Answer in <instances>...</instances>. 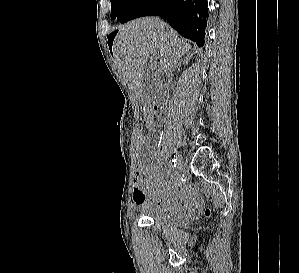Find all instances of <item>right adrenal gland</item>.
Wrapping results in <instances>:
<instances>
[{
    "mask_svg": "<svg viewBox=\"0 0 299 273\" xmlns=\"http://www.w3.org/2000/svg\"><path fill=\"white\" fill-rule=\"evenodd\" d=\"M189 58H190V55H187V57H185V59L184 60H179L177 63H175V65L172 67V70L173 71H175V69L178 67V66H180L181 65V63L184 61V62H188V60H189ZM171 70V71H172Z\"/></svg>",
    "mask_w": 299,
    "mask_h": 273,
    "instance_id": "2a0ac1e0",
    "label": "right adrenal gland"
}]
</instances>
